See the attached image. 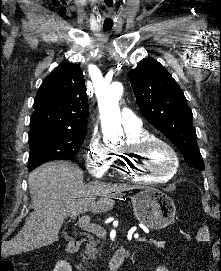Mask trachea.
Here are the masks:
<instances>
[{"label": "trachea", "mask_w": 221, "mask_h": 271, "mask_svg": "<svg viewBox=\"0 0 221 271\" xmlns=\"http://www.w3.org/2000/svg\"><path fill=\"white\" fill-rule=\"evenodd\" d=\"M111 29V27H105V30H110Z\"/></svg>", "instance_id": "trachea-1"}]
</instances>
